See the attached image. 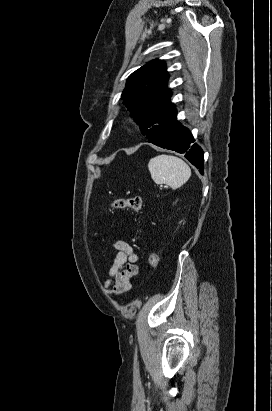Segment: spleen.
<instances>
[{
	"label": "spleen",
	"mask_w": 272,
	"mask_h": 411,
	"mask_svg": "<svg viewBox=\"0 0 272 411\" xmlns=\"http://www.w3.org/2000/svg\"><path fill=\"white\" fill-rule=\"evenodd\" d=\"M151 178L157 184L165 183L173 190L185 184L191 176L190 167L172 155H158L148 163Z\"/></svg>",
	"instance_id": "spleen-1"
}]
</instances>
